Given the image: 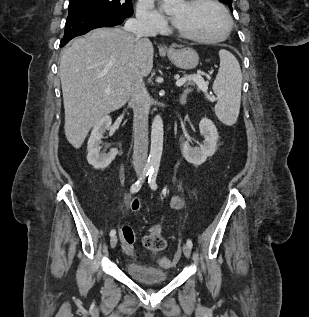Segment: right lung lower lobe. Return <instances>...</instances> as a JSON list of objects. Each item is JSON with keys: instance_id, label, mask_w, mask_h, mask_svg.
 <instances>
[{"instance_id": "1", "label": "right lung lower lobe", "mask_w": 309, "mask_h": 317, "mask_svg": "<svg viewBox=\"0 0 309 317\" xmlns=\"http://www.w3.org/2000/svg\"><path fill=\"white\" fill-rule=\"evenodd\" d=\"M127 17L100 11H70L65 24L63 47L72 38L83 35L94 28L120 25Z\"/></svg>"}]
</instances>
